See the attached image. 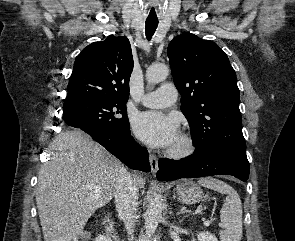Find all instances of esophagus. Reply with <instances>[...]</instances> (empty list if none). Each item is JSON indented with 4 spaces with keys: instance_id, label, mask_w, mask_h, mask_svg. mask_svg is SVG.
Instances as JSON below:
<instances>
[{
    "instance_id": "34e87169",
    "label": "esophagus",
    "mask_w": 295,
    "mask_h": 241,
    "mask_svg": "<svg viewBox=\"0 0 295 241\" xmlns=\"http://www.w3.org/2000/svg\"><path fill=\"white\" fill-rule=\"evenodd\" d=\"M149 162L151 166V172L156 174L158 172V158L154 154H150Z\"/></svg>"
}]
</instances>
